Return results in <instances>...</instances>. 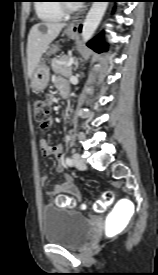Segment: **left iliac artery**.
<instances>
[{
	"mask_svg": "<svg viewBox=\"0 0 158 275\" xmlns=\"http://www.w3.org/2000/svg\"><path fill=\"white\" fill-rule=\"evenodd\" d=\"M65 163H66L68 166H70V167H72V165H73V161H72V159L69 158V157H67V158L65 159Z\"/></svg>",
	"mask_w": 158,
	"mask_h": 275,
	"instance_id": "1",
	"label": "left iliac artery"
}]
</instances>
